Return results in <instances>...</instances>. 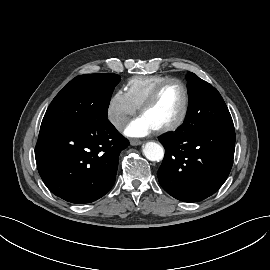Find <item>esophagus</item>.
Here are the masks:
<instances>
[{
  "label": "esophagus",
  "mask_w": 270,
  "mask_h": 270,
  "mask_svg": "<svg viewBox=\"0 0 270 270\" xmlns=\"http://www.w3.org/2000/svg\"><path fill=\"white\" fill-rule=\"evenodd\" d=\"M130 144H131L132 146H138V145H141L142 142H141L140 140H131V141H130Z\"/></svg>",
  "instance_id": "34e87169"
}]
</instances>
